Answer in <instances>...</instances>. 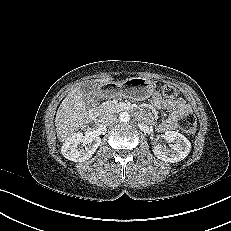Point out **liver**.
Masks as SVG:
<instances>
[{"label": "liver", "mask_w": 231, "mask_h": 231, "mask_svg": "<svg viewBox=\"0 0 231 231\" xmlns=\"http://www.w3.org/2000/svg\"><path fill=\"white\" fill-rule=\"evenodd\" d=\"M113 78L107 77L98 79L100 85L112 83ZM85 101L79 87L71 90L60 104L56 117L55 126L57 137L65 142L88 122Z\"/></svg>", "instance_id": "1"}]
</instances>
